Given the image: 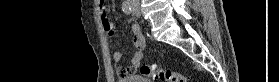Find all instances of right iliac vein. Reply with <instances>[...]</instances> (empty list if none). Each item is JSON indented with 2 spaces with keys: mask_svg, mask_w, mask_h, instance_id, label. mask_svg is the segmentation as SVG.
<instances>
[{
  "mask_svg": "<svg viewBox=\"0 0 279 82\" xmlns=\"http://www.w3.org/2000/svg\"><path fill=\"white\" fill-rule=\"evenodd\" d=\"M131 5L133 6V8L135 9V11L140 12V9L137 5H135L134 3L130 2Z\"/></svg>",
  "mask_w": 279,
  "mask_h": 82,
  "instance_id": "right-iliac-vein-1",
  "label": "right iliac vein"
}]
</instances>
